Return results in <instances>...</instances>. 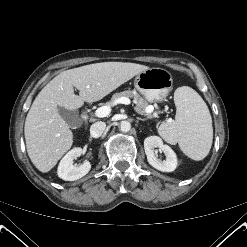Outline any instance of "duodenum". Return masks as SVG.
Masks as SVG:
<instances>
[{"label": "duodenum", "mask_w": 247, "mask_h": 247, "mask_svg": "<svg viewBox=\"0 0 247 247\" xmlns=\"http://www.w3.org/2000/svg\"><path fill=\"white\" fill-rule=\"evenodd\" d=\"M82 118H83V120H84V122H85V125H86L87 122H88V116H87L86 112H83Z\"/></svg>", "instance_id": "duodenum-1"}]
</instances>
